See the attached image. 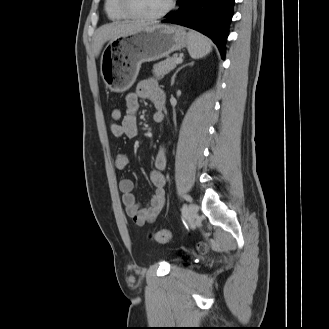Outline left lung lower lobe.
Instances as JSON below:
<instances>
[{"label":"left lung lower lobe","mask_w":329,"mask_h":329,"mask_svg":"<svg viewBox=\"0 0 329 329\" xmlns=\"http://www.w3.org/2000/svg\"><path fill=\"white\" fill-rule=\"evenodd\" d=\"M179 9L162 22L173 23L195 29L218 46L222 58L229 23L233 16L234 0H178Z\"/></svg>","instance_id":"obj_1"}]
</instances>
